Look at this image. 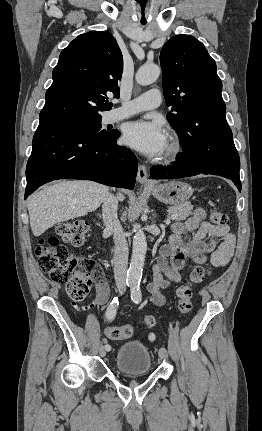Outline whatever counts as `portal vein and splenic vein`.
<instances>
[{"instance_id":"portal-vein-and-splenic-vein-1","label":"portal vein and splenic vein","mask_w":262,"mask_h":431,"mask_svg":"<svg viewBox=\"0 0 262 431\" xmlns=\"http://www.w3.org/2000/svg\"><path fill=\"white\" fill-rule=\"evenodd\" d=\"M177 214H173V215H171V217L166 221V224H169L170 223V220H175V219H177Z\"/></svg>"}]
</instances>
